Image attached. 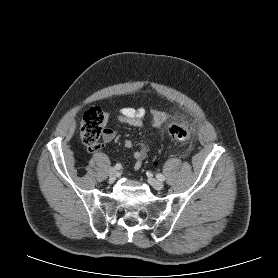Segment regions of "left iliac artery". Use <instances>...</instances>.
Wrapping results in <instances>:
<instances>
[{
  "label": "left iliac artery",
  "instance_id": "44dca946",
  "mask_svg": "<svg viewBox=\"0 0 278 278\" xmlns=\"http://www.w3.org/2000/svg\"><path fill=\"white\" fill-rule=\"evenodd\" d=\"M157 178H158L160 181H164V180H165V177H164L162 174H157Z\"/></svg>",
  "mask_w": 278,
  "mask_h": 278
}]
</instances>
